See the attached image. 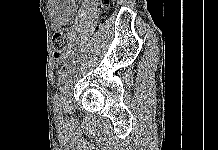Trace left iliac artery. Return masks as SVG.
Wrapping results in <instances>:
<instances>
[{
    "label": "left iliac artery",
    "mask_w": 218,
    "mask_h": 150,
    "mask_svg": "<svg viewBox=\"0 0 218 150\" xmlns=\"http://www.w3.org/2000/svg\"><path fill=\"white\" fill-rule=\"evenodd\" d=\"M53 107L55 113H60V99L57 93L53 97Z\"/></svg>",
    "instance_id": "left-iliac-artery-1"
}]
</instances>
